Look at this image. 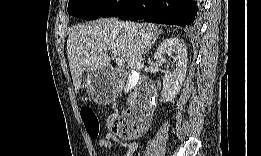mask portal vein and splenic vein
Wrapping results in <instances>:
<instances>
[{"mask_svg": "<svg viewBox=\"0 0 261 156\" xmlns=\"http://www.w3.org/2000/svg\"><path fill=\"white\" fill-rule=\"evenodd\" d=\"M115 61L119 66H123L125 64V60L119 57H116Z\"/></svg>", "mask_w": 261, "mask_h": 156, "instance_id": "portal-vein-and-splenic-vein-1", "label": "portal vein and splenic vein"}]
</instances>
